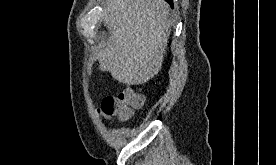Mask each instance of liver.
I'll return each instance as SVG.
<instances>
[{"label": "liver", "instance_id": "obj_1", "mask_svg": "<svg viewBox=\"0 0 276 165\" xmlns=\"http://www.w3.org/2000/svg\"><path fill=\"white\" fill-rule=\"evenodd\" d=\"M169 11L164 0H106L102 19L109 36L99 44V69L127 85L157 75L170 35Z\"/></svg>", "mask_w": 276, "mask_h": 165}]
</instances>
